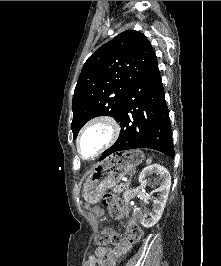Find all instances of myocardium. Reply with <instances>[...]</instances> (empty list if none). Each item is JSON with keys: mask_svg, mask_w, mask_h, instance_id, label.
Wrapping results in <instances>:
<instances>
[{"mask_svg": "<svg viewBox=\"0 0 221 266\" xmlns=\"http://www.w3.org/2000/svg\"><path fill=\"white\" fill-rule=\"evenodd\" d=\"M96 125H105L109 130V136L107 140L104 142V144L92 156L85 157L83 156L81 152V148H80L81 140L83 136L85 135V133ZM119 133H120V126L113 117L108 116V115H99V116L93 117L82 127V129L80 130L76 138L75 144H76L77 154L83 160H87V161L94 160L115 142V140L119 136Z\"/></svg>", "mask_w": 221, "mask_h": 266, "instance_id": "myocardium-1", "label": "myocardium"}]
</instances>
